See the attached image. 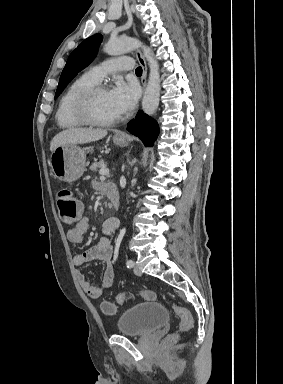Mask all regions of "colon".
<instances>
[{"mask_svg":"<svg viewBox=\"0 0 283 384\" xmlns=\"http://www.w3.org/2000/svg\"><path fill=\"white\" fill-rule=\"evenodd\" d=\"M56 202L59 208V214L62 222L65 225L74 224L80 217V206L74 193L66 188L60 189L56 195ZM142 299L147 301H154L156 293L152 290H143L138 294ZM132 295L126 292H121L117 295L116 300L118 304H126ZM101 309L105 314L111 315L115 313V305L111 302H103ZM174 313L180 318L178 333L168 337L167 342L175 341L179 333L187 332L193 327V317L191 313L184 307L174 304Z\"/></svg>","mask_w":283,"mask_h":384,"instance_id":"1","label":"colon"}]
</instances>
